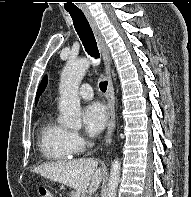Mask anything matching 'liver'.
Returning a JSON list of instances; mask_svg holds the SVG:
<instances>
[{
    "mask_svg": "<svg viewBox=\"0 0 191 197\" xmlns=\"http://www.w3.org/2000/svg\"><path fill=\"white\" fill-rule=\"evenodd\" d=\"M33 172L82 194L88 186L90 193L96 192L103 178V171L93 158L47 163L36 167Z\"/></svg>",
    "mask_w": 191,
    "mask_h": 197,
    "instance_id": "1",
    "label": "liver"
}]
</instances>
